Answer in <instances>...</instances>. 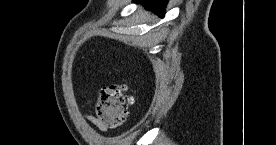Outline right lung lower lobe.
I'll use <instances>...</instances> for the list:
<instances>
[{
  "label": "right lung lower lobe",
  "instance_id": "98d812e1",
  "mask_svg": "<svg viewBox=\"0 0 276 145\" xmlns=\"http://www.w3.org/2000/svg\"><path fill=\"white\" fill-rule=\"evenodd\" d=\"M136 3H142V5L145 6L146 9L155 11L156 14H158L160 17L164 16V13L162 12L167 0H133Z\"/></svg>",
  "mask_w": 276,
  "mask_h": 145
}]
</instances>
